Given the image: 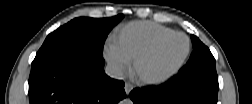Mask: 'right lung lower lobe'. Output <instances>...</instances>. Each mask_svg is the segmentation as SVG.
Wrapping results in <instances>:
<instances>
[{
    "instance_id": "obj_1",
    "label": "right lung lower lobe",
    "mask_w": 252,
    "mask_h": 104,
    "mask_svg": "<svg viewBox=\"0 0 252 104\" xmlns=\"http://www.w3.org/2000/svg\"><path fill=\"white\" fill-rule=\"evenodd\" d=\"M104 59L80 49L35 57L29 77L30 104H117L124 82L108 77Z\"/></svg>"
}]
</instances>
